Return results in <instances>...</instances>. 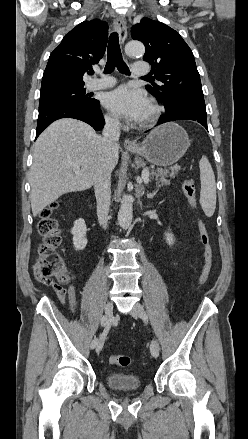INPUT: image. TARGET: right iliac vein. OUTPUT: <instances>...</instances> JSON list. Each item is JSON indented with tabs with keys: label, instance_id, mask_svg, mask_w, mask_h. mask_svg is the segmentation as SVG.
Here are the masks:
<instances>
[{
	"label": "right iliac vein",
	"instance_id": "1",
	"mask_svg": "<svg viewBox=\"0 0 248 439\" xmlns=\"http://www.w3.org/2000/svg\"><path fill=\"white\" fill-rule=\"evenodd\" d=\"M113 314V303L111 301L107 302L105 306V318H106V325L110 323L111 317ZM97 345L94 347L96 353H99L103 347L104 339H97Z\"/></svg>",
	"mask_w": 248,
	"mask_h": 439
}]
</instances>
